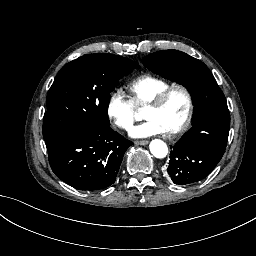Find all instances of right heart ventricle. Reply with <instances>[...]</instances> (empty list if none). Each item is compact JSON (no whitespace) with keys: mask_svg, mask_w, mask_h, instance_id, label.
<instances>
[{"mask_svg":"<svg viewBox=\"0 0 256 256\" xmlns=\"http://www.w3.org/2000/svg\"><path fill=\"white\" fill-rule=\"evenodd\" d=\"M166 90L165 87L152 82L148 78L142 79L134 88L135 107L137 111L140 113L145 112Z\"/></svg>","mask_w":256,"mask_h":256,"instance_id":"right-heart-ventricle-1","label":"right heart ventricle"}]
</instances>
